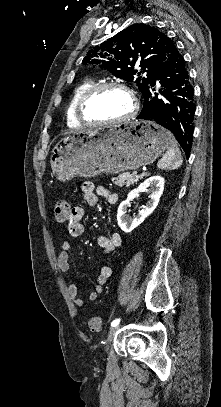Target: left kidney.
<instances>
[{
    "instance_id": "left-kidney-1",
    "label": "left kidney",
    "mask_w": 221,
    "mask_h": 407,
    "mask_svg": "<svg viewBox=\"0 0 221 407\" xmlns=\"http://www.w3.org/2000/svg\"><path fill=\"white\" fill-rule=\"evenodd\" d=\"M149 189L151 192L150 200L147 202L146 206L139 211V214L134 218H129L126 215L127 208L130 206V201H132L139 193L144 192ZM164 190V178L156 175L146 179L142 182L136 189L132 190L125 201H123L117 211V221L119 227L126 233L131 232L137 226H139L146 217H148L157 207L159 199Z\"/></svg>"
}]
</instances>
